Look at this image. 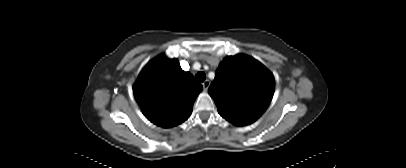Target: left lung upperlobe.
<instances>
[{"label": "left lung upper lobe", "mask_w": 406, "mask_h": 168, "mask_svg": "<svg viewBox=\"0 0 406 168\" xmlns=\"http://www.w3.org/2000/svg\"><path fill=\"white\" fill-rule=\"evenodd\" d=\"M219 114L235 125L256 121L274 94V76L259 61L244 54L226 57L209 87Z\"/></svg>", "instance_id": "5c2ea615"}]
</instances>
